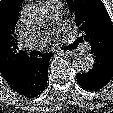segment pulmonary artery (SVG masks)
<instances>
[{
  "label": "pulmonary artery",
  "mask_w": 113,
  "mask_h": 113,
  "mask_svg": "<svg viewBox=\"0 0 113 113\" xmlns=\"http://www.w3.org/2000/svg\"><path fill=\"white\" fill-rule=\"evenodd\" d=\"M43 8L47 15L48 24L52 26V29L41 31L38 34L28 38L24 44V47L28 50L41 48L46 45L50 39L51 32L55 29V25L61 16L60 0H46L43 2Z\"/></svg>",
  "instance_id": "e3ab8cb5"
}]
</instances>
